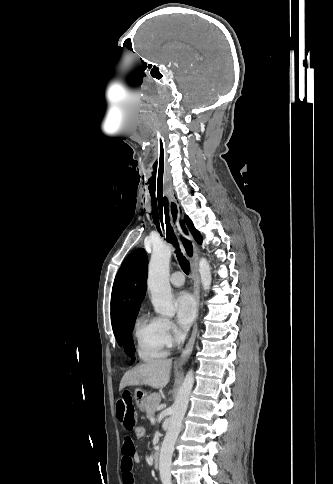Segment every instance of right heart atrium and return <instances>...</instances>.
Wrapping results in <instances>:
<instances>
[{"label":"right heart atrium","mask_w":333,"mask_h":484,"mask_svg":"<svg viewBox=\"0 0 333 484\" xmlns=\"http://www.w3.org/2000/svg\"><path fill=\"white\" fill-rule=\"evenodd\" d=\"M162 330L166 345L171 347L178 338V331L175 324L168 318H162Z\"/></svg>","instance_id":"right-heart-atrium-1"}]
</instances>
